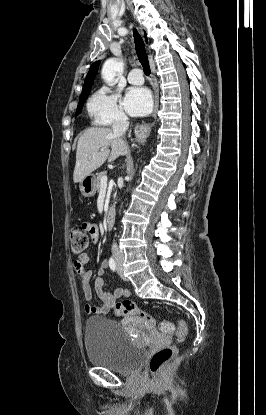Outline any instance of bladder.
I'll use <instances>...</instances> for the list:
<instances>
[{"instance_id":"31cf9c89","label":"bladder","mask_w":266,"mask_h":415,"mask_svg":"<svg viewBox=\"0 0 266 415\" xmlns=\"http://www.w3.org/2000/svg\"><path fill=\"white\" fill-rule=\"evenodd\" d=\"M84 345L91 364L118 373L136 371L146 353L143 346L132 341L120 323L106 317L86 320Z\"/></svg>"}]
</instances>
